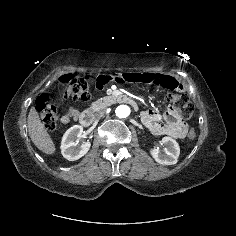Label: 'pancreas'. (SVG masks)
<instances>
[{"label": "pancreas", "instance_id": "pancreas-1", "mask_svg": "<svg viewBox=\"0 0 236 236\" xmlns=\"http://www.w3.org/2000/svg\"><path fill=\"white\" fill-rule=\"evenodd\" d=\"M110 102H111V97L100 98L99 100H97L91 104L90 109L92 111H99L101 109H104L108 105H110Z\"/></svg>", "mask_w": 236, "mask_h": 236}]
</instances>
